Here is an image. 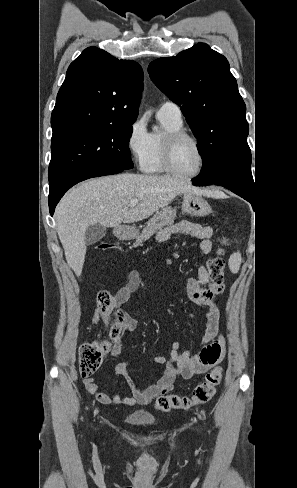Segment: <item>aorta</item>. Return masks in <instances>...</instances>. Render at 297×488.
Masks as SVG:
<instances>
[{"instance_id": "1", "label": "aorta", "mask_w": 297, "mask_h": 488, "mask_svg": "<svg viewBox=\"0 0 297 488\" xmlns=\"http://www.w3.org/2000/svg\"><path fill=\"white\" fill-rule=\"evenodd\" d=\"M154 130H156V131H157V130H158V127H154Z\"/></svg>"}]
</instances>
